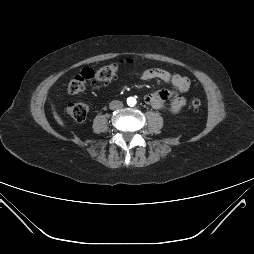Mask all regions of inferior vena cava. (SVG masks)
<instances>
[{
  "label": "inferior vena cava",
  "instance_id": "602c4592",
  "mask_svg": "<svg viewBox=\"0 0 254 254\" xmlns=\"http://www.w3.org/2000/svg\"><path fill=\"white\" fill-rule=\"evenodd\" d=\"M109 107L112 110L121 109L123 107V103L119 100H113L110 102Z\"/></svg>",
  "mask_w": 254,
  "mask_h": 254
}]
</instances>
